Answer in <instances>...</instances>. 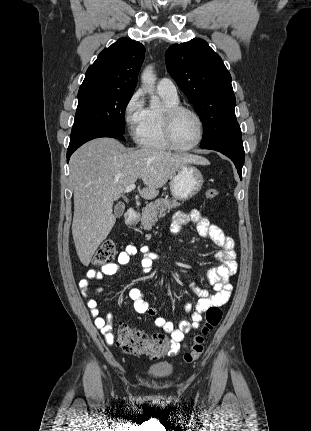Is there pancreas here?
<instances>
[{"label": "pancreas", "instance_id": "cf45deb5", "mask_svg": "<svg viewBox=\"0 0 311 431\" xmlns=\"http://www.w3.org/2000/svg\"><path fill=\"white\" fill-rule=\"evenodd\" d=\"M178 206H181V204L177 200L158 198L155 202H151V204H147L145 208H142L141 225H143L144 229H152V225H155L158 217L166 216L172 208H178Z\"/></svg>", "mask_w": 311, "mask_h": 431}]
</instances>
